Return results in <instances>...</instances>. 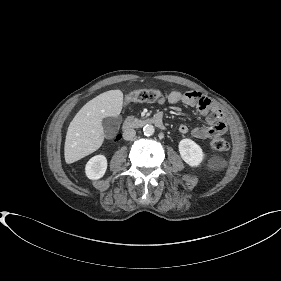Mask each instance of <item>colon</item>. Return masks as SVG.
Segmentation results:
<instances>
[{"mask_svg":"<svg viewBox=\"0 0 281 281\" xmlns=\"http://www.w3.org/2000/svg\"><path fill=\"white\" fill-rule=\"evenodd\" d=\"M161 98V93L156 89H142L128 93L125 98L126 103L134 102H154ZM210 147L214 151H226L229 143L223 138H214L210 141Z\"/></svg>","mask_w":281,"mask_h":281,"instance_id":"colon-1","label":"colon"}]
</instances>
